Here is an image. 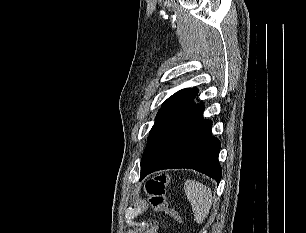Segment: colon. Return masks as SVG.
I'll list each match as a JSON object with an SVG mask.
<instances>
[{"label":"colon","instance_id":"1","mask_svg":"<svg viewBox=\"0 0 306 233\" xmlns=\"http://www.w3.org/2000/svg\"><path fill=\"white\" fill-rule=\"evenodd\" d=\"M167 187V177L165 174H158L149 178L144 185L149 206L154 212L170 216L178 224L182 219L178 212L171 208L165 200V190Z\"/></svg>","mask_w":306,"mask_h":233}]
</instances>
